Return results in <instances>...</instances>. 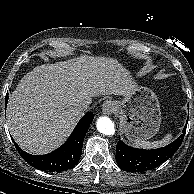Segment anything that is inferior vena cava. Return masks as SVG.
<instances>
[{"label": "inferior vena cava", "mask_w": 194, "mask_h": 194, "mask_svg": "<svg viewBox=\"0 0 194 194\" xmlns=\"http://www.w3.org/2000/svg\"><path fill=\"white\" fill-rule=\"evenodd\" d=\"M90 103H91V101H83L80 104L81 111L84 112V111L88 110Z\"/></svg>", "instance_id": "1"}]
</instances>
